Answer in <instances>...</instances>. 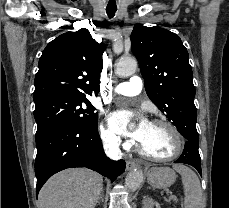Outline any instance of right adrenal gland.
Wrapping results in <instances>:
<instances>
[{
    "label": "right adrenal gland",
    "instance_id": "2a0ac1e0",
    "mask_svg": "<svg viewBox=\"0 0 229 208\" xmlns=\"http://www.w3.org/2000/svg\"><path fill=\"white\" fill-rule=\"evenodd\" d=\"M100 200H101V202H104V192H103V190H102V192H101V194L99 196V200H97V202H96L97 206H99Z\"/></svg>",
    "mask_w": 229,
    "mask_h": 208
}]
</instances>
